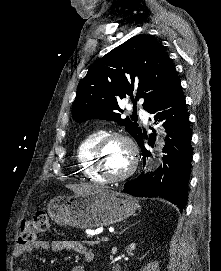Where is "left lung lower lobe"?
<instances>
[{"label": "left lung lower lobe", "mask_w": 221, "mask_h": 271, "mask_svg": "<svg viewBox=\"0 0 221 271\" xmlns=\"http://www.w3.org/2000/svg\"><path fill=\"white\" fill-rule=\"evenodd\" d=\"M155 120H166L164 126L167 132L166 145L163 152V165L154 173L140 174L136 179L124 185V191L137 197H162L174 203L182 212L188 198V181L190 176L192 147V133L189 126V114L186 110L185 97L181 83L177 84L167 98L150 113ZM156 122V121H155ZM154 131V130H153ZM147 139L145 132L135 139L141 147L144 164L149 152L144 147ZM154 134L150 135L149 144L153 145Z\"/></svg>", "instance_id": "obj_1"}]
</instances>
